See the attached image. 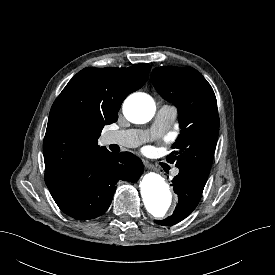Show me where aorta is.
I'll use <instances>...</instances> for the list:
<instances>
[{"mask_svg": "<svg viewBox=\"0 0 275 275\" xmlns=\"http://www.w3.org/2000/svg\"><path fill=\"white\" fill-rule=\"evenodd\" d=\"M156 105L153 98L145 93H136L126 99L123 113L136 124H143L152 119ZM140 192L147 211L156 218L166 215L174 204V198L165 179L154 172L145 174L140 181Z\"/></svg>", "mask_w": 275, "mask_h": 275, "instance_id": "obj_1", "label": "aorta"}]
</instances>
